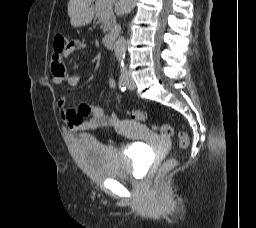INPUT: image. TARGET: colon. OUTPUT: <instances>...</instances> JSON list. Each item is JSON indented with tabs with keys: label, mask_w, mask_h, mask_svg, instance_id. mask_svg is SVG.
Instances as JSON below:
<instances>
[{
	"label": "colon",
	"mask_w": 256,
	"mask_h": 228,
	"mask_svg": "<svg viewBox=\"0 0 256 228\" xmlns=\"http://www.w3.org/2000/svg\"><path fill=\"white\" fill-rule=\"evenodd\" d=\"M67 41L65 39L64 36L58 34L54 37L53 39V50L55 54H60L62 53L65 48L67 47ZM131 117L135 120H143L144 119V113L141 111H133L131 113ZM155 130L159 133V135H161L162 137H171L174 134V129L171 125L169 124H162L159 126H155L154 127ZM177 137H178V141H179V146L182 149H185L188 147L189 145V137L188 135L183 132V131H179L177 133ZM177 165V160L176 159H169L168 161H166L162 167L160 168L155 180H154V185L155 187H160L162 182H163V178L165 176V174L170 171L171 169H173L175 166Z\"/></svg>",
	"instance_id": "colon-1"
}]
</instances>
